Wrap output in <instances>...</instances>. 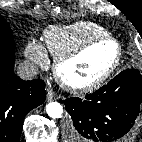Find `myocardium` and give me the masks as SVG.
Segmentation results:
<instances>
[{
    "label": "myocardium",
    "instance_id": "myocardium-1",
    "mask_svg": "<svg viewBox=\"0 0 142 142\" xmlns=\"http://www.w3.org/2000/svg\"><path fill=\"white\" fill-rule=\"evenodd\" d=\"M104 42H111L116 48L115 58L111 65L99 77L91 82L78 84L68 80L63 74V67L66 64L80 58L90 49ZM122 55L123 50L120 43L115 38L109 35H104L91 39L80 47L57 57L53 66V72L59 83L67 90L78 94L90 93L101 87L115 73L121 63Z\"/></svg>",
    "mask_w": 142,
    "mask_h": 142
}]
</instances>
